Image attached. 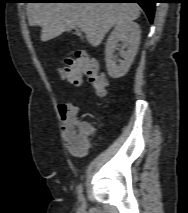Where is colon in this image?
Returning a JSON list of instances; mask_svg holds the SVG:
<instances>
[{
	"instance_id": "obj_1",
	"label": "colon",
	"mask_w": 188,
	"mask_h": 213,
	"mask_svg": "<svg viewBox=\"0 0 188 213\" xmlns=\"http://www.w3.org/2000/svg\"><path fill=\"white\" fill-rule=\"evenodd\" d=\"M60 77L71 86H78L83 76L89 78L91 89L100 97L107 93V80L105 75L99 71L97 63L86 53L79 52L74 58H66L57 67ZM74 145H80L78 137L73 138Z\"/></svg>"
}]
</instances>
